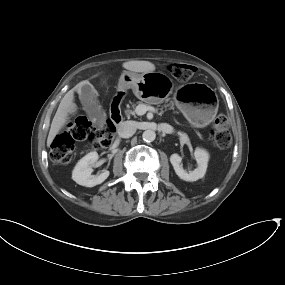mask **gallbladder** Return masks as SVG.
<instances>
[{
  "label": "gallbladder",
  "mask_w": 285,
  "mask_h": 285,
  "mask_svg": "<svg viewBox=\"0 0 285 285\" xmlns=\"http://www.w3.org/2000/svg\"><path fill=\"white\" fill-rule=\"evenodd\" d=\"M97 91L90 83L82 85L79 93V98L83 106L84 111L91 120H95L96 123L103 122L105 120V113L97 100Z\"/></svg>",
  "instance_id": "gallbladder-1"
}]
</instances>
